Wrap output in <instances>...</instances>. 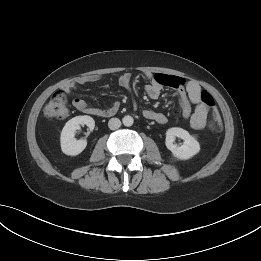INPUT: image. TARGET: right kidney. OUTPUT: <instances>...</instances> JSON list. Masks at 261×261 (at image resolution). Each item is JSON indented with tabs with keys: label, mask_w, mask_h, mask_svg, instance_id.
Returning <instances> with one entry per match:
<instances>
[{
	"label": "right kidney",
	"mask_w": 261,
	"mask_h": 261,
	"mask_svg": "<svg viewBox=\"0 0 261 261\" xmlns=\"http://www.w3.org/2000/svg\"><path fill=\"white\" fill-rule=\"evenodd\" d=\"M80 125H87L92 131L95 127V121L92 117L84 115L76 116L65 124L60 137L61 149L64 154L76 156L87 146L86 140H76L75 138L76 130L80 128Z\"/></svg>",
	"instance_id": "ca27d5eb"
}]
</instances>
